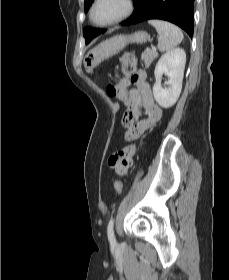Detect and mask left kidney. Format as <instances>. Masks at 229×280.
Listing matches in <instances>:
<instances>
[{
  "mask_svg": "<svg viewBox=\"0 0 229 280\" xmlns=\"http://www.w3.org/2000/svg\"><path fill=\"white\" fill-rule=\"evenodd\" d=\"M186 53L181 48L167 51L159 59L154 75L156 82L153 86V94L156 102L163 108L172 107L178 100L184 76ZM168 76L165 82L166 88L162 87V75Z\"/></svg>",
  "mask_w": 229,
  "mask_h": 280,
  "instance_id": "left-kidney-1",
  "label": "left kidney"
}]
</instances>
